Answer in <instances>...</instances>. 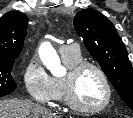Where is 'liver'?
<instances>
[{
  "instance_id": "6515ba94",
  "label": "liver",
  "mask_w": 133,
  "mask_h": 118,
  "mask_svg": "<svg viewBox=\"0 0 133 118\" xmlns=\"http://www.w3.org/2000/svg\"><path fill=\"white\" fill-rule=\"evenodd\" d=\"M0 118H60L38 104L18 99L0 100Z\"/></svg>"
}]
</instances>
